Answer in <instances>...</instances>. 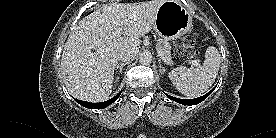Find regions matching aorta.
I'll use <instances>...</instances> for the list:
<instances>
[{
	"mask_svg": "<svg viewBox=\"0 0 276 138\" xmlns=\"http://www.w3.org/2000/svg\"><path fill=\"white\" fill-rule=\"evenodd\" d=\"M139 62L142 65H149L152 62V54L149 51H144L139 56Z\"/></svg>",
	"mask_w": 276,
	"mask_h": 138,
	"instance_id": "aorta-1",
	"label": "aorta"
}]
</instances>
